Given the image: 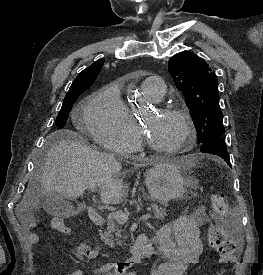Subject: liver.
Instances as JSON below:
<instances>
[{
	"instance_id": "liver-1",
	"label": "liver",
	"mask_w": 263,
	"mask_h": 275,
	"mask_svg": "<svg viewBox=\"0 0 263 275\" xmlns=\"http://www.w3.org/2000/svg\"><path fill=\"white\" fill-rule=\"evenodd\" d=\"M41 173L42 195L56 192L66 198L76 199L87 188L99 187L100 199L105 204H117L127 197L123 181L118 178L121 162L113 155L98 152L87 146L81 136L71 130L55 132L49 140ZM191 157H182L178 165L191 164ZM39 195L27 188L17 209H26L39 204Z\"/></svg>"
}]
</instances>
